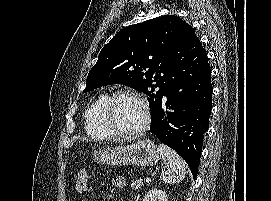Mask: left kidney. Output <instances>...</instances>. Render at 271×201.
Segmentation results:
<instances>
[{"label":"left kidney","mask_w":271,"mask_h":201,"mask_svg":"<svg viewBox=\"0 0 271 201\" xmlns=\"http://www.w3.org/2000/svg\"><path fill=\"white\" fill-rule=\"evenodd\" d=\"M143 201H167V195L166 192L154 188L148 191Z\"/></svg>","instance_id":"5707ae66"}]
</instances>
